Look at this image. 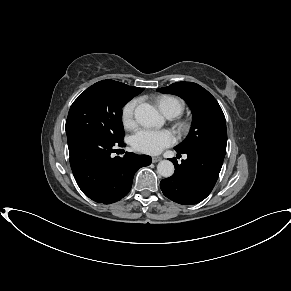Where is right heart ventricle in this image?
Wrapping results in <instances>:
<instances>
[{"label":"right heart ventricle","mask_w":291,"mask_h":291,"mask_svg":"<svg viewBox=\"0 0 291 291\" xmlns=\"http://www.w3.org/2000/svg\"><path fill=\"white\" fill-rule=\"evenodd\" d=\"M156 103L160 111L170 118L180 115L185 108L184 101L173 95L158 96Z\"/></svg>","instance_id":"right-heart-ventricle-1"}]
</instances>
